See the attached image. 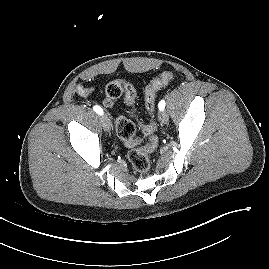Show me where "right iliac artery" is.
<instances>
[{
	"label": "right iliac artery",
	"instance_id": "1",
	"mask_svg": "<svg viewBox=\"0 0 269 269\" xmlns=\"http://www.w3.org/2000/svg\"><path fill=\"white\" fill-rule=\"evenodd\" d=\"M93 110H94L97 114H99V115H103V109H102L100 106H98V105L93 106Z\"/></svg>",
	"mask_w": 269,
	"mask_h": 269
}]
</instances>
